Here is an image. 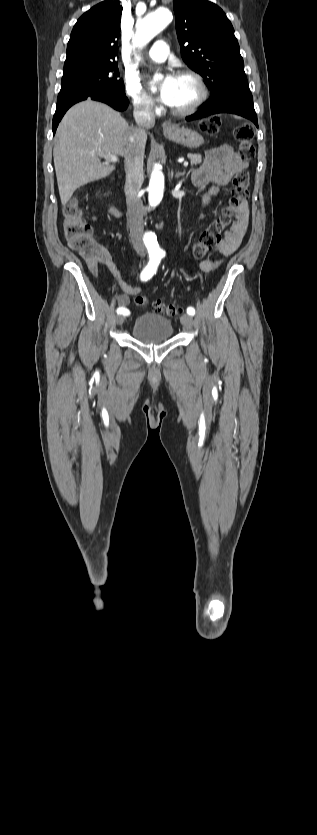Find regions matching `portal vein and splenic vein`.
<instances>
[{"label": "portal vein and splenic vein", "instance_id": "obj_1", "mask_svg": "<svg viewBox=\"0 0 317 835\" xmlns=\"http://www.w3.org/2000/svg\"><path fill=\"white\" fill-rule=\"evenodd\" d=\"M105 158L110 159L112 162H118V160H119V158H118L116 155H113V154H111V153L106 154V155H105ZM183 165H184L185 167H187V166L189 165V163H188L187 161H185V162L183 163Z\"/></svg>", "mask_w": 317, "mask_h": 835}]
</instances>
